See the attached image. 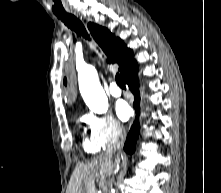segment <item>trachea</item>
Segmentation results:
<instances>
[{"instance_id": "3493384b", "label": "trachea", "mask_w": 221, "mask_h": 193, "mask_svg": "<svg viewBox=\"0 0 221 193\" xmlns=\"http://www.w3.org/2000/svg\"><path fill=\"white\" fill-rule=\"evenodd\" d=\"M57 17L71 30H74L78 35H82L85 39H89V35L83 25V23L72 14L57 15ZM116 83L125 88V84L119 73L115 76Z\"/></svg>"}]
</instances>
